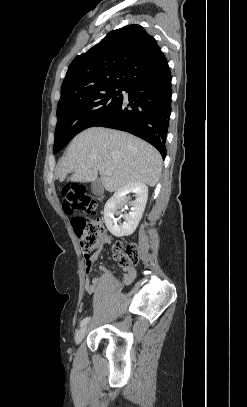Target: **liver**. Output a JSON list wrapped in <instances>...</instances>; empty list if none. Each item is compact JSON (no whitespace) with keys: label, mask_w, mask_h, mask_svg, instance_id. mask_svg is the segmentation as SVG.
I'll list each match as a JSON object with an SVG mask.
<instances>
[{"label":"liver","mask_w":247,"mask_h":407,"mask_svg":"<svg viewBox=\"0 0 247 407\" xmlns=\"http://www.w3.org/2000/svg\"><path fill=\"white\" fill-rule=\"evenodd\" d=\"M103 169L101 182L108 192L140 182L154 187L162 169L160 153L150 144L129 133L93 127L78 134L69 144L57 175L72 182H93Z\"/></svg>","instance_id":"1"}]
</instances>
